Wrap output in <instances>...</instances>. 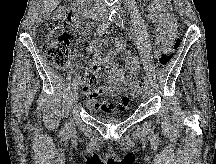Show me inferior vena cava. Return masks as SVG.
<instances>
[{
  "label": "inferior vena cava",
  "instance_id": "602c4592",
  "mask_svg": "<svg viewBox=\"0 0 216 164\" xmlns=\"http://www.w3.org/2000/svg\"><path fill=\"white\" fill-rule=\"evenodd\" d=\"M97 2H99V3H100L99 5H102V3H101V0H97Z\"/></svg>",
  "mask_w": 216,
  "mask_h": 164
}]
</instances>
